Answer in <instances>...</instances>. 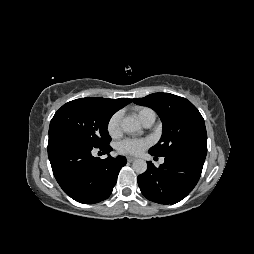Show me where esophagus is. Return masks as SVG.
Wrapping results in <instances>:
<instances>
[{
    "instance_id": "1",
    "label": "esophagus",
    "mask_w": 254,
    "mask_h": 254,
    "mask_svg": "<svg viewBox=\"0 0 254 254\" xmlns=\"http://www.w3.org/2000/svg\"><path fill=\"white\" fill-rule=\"evenodd\" d=\"M126 159L128 162H133L135 160V158L131 156H128Z\"/></svg>"
}]
</instances>
